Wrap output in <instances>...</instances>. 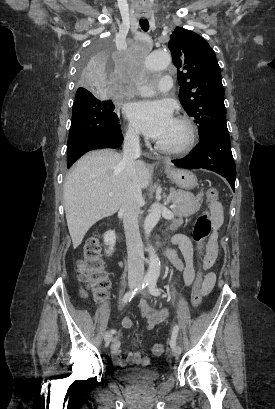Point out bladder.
I'll use <instances>...</instances> for the list:
<instances>
[{
    "mask_svg": "<svg viewBox=\"0 0 275 409\" xmlns=\"http://www.w3.org/2000/svg\"><path fill=\"white\" fill-rule=\"evenodd\" d=\"M160 379V374L152 369L121 368L119 370V382H135L142 387L153 386Z\"/></svg>",
    "mask_w": 275,
    "mask_h": 409,
    "instance_id": "bladder-1",
    "label": "bladder"
}]
</instances>
